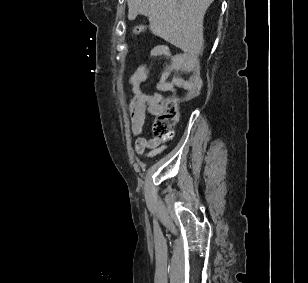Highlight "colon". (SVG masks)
<instances>
[{
  "mask_svg": "<svg viewBox=\"0 0 308 283\" xmlns=\"http://www.w3.org/2000/svg\"><path fill=\"white\" fill-rule=\"evenodd\" d=\"M146 28L145 24L135 26L131 34L137 35ZM203 84L202 67L198 55H194L191 73L189 77V85L185 89L182 97H167L160 102L161 110L156 115L151 131L154 138L160 140H170L173 137V126L178 118V107L180 102L196 97Z\"/></svg>",
  "mask_w": 308,
  "mask_h": 283,
  "instance_id": "obj_1",
  "label": "colon"
}]
</instances>
